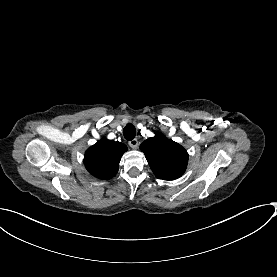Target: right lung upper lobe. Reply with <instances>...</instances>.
Masks as SVG:
<instances>
[{
  "mask_svg": "<svg viewBox=\"0 0 277 277\" xmlns=\"http://www.w3.org/2000/svg\"><path fill=\"white\" fill-rule=\"evenodd\" d=\"M125 144L102 138L85 153L84 164L94 177L108 180L118 171V164L124 152Z\"/></svg>",
  "mask_w": 277,
  "mask_h": 277,
  "instance_id": "cb5924a9",
  "label": "right lung upper lobe"
}]
</instances>
